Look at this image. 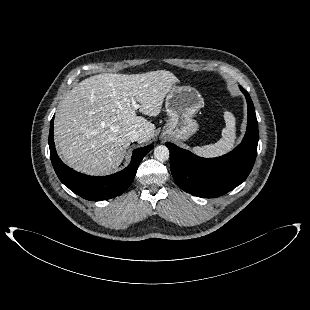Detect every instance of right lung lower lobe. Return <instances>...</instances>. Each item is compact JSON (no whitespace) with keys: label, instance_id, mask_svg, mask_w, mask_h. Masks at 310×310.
I'll list each match as a JSON object with an SVG mask.
<instances>
[{"label":"right lung lower lobe","instance_id":"1","mask_svg":"<svg viewBox=\"0 0 310 310\" xmlns=\"http://www.w3.org/2000/svg\"><path fill=\"white\" fill-rule=\"evenodd\" d=\"M53 121L50 123L49 148L54 170L60 181L71 191L90 201H100L122 194L132 183L143 157L154 147L152 144L133 152L128 167L113 175L104 177L87 176L65 165L56 153L53 139Z\"/></svg>","mask_w":310,"mask_h":310}]
</instances>
